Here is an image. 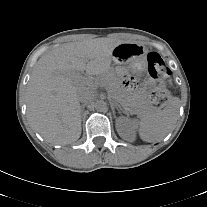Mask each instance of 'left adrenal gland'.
Segmentation results:
<instances>
[{
	"instance_id": "a2214340",
	"label": "left adrenal gland",
	"mask_w": 207,
	"mask_h": 207,
	"mask_svg": "<svg viewBox=\"0 0 207 207\" xmlns=\"http://www.w3.org/2000/svg\"><path fill=\"white\" fill-rule=\"evenodd\" d=\"M111 107H112L113 110H115V109H117L118 111L121 110L120 106L117 103L113 102V101L111 102Z\"/></svg>"
}]
</instances>
